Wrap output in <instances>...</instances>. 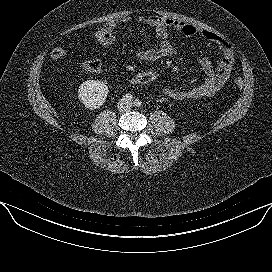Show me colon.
Listing matches in <instances>:
<instances>
[{"instance_id":"1","label":"colon","mask_w":272,"mask_h":272,"mask_svg":"<svg viewBox=\"0 0 272 272\" xmlns=\"http://www.w3.org/2000/svg\"><path fill=\"white\" fill-rule=\"evenodd\" d=\"M94 43L103 47H113L115 46L117 40L114 34L104 30L99 29L95 31L92 36ZM66 55V50L63 47H55L51 51V57L54 60H59ZM81 70L87 74H96L101 71V63L97 60L85 61L80 66ZM160 77V72L156 69H147L138 72L130 77L129 82L133 85H149L156 82ZM234 83L238 88L243 87V80L240 77L234 79Z\"/></svg>"}]
</instances>
